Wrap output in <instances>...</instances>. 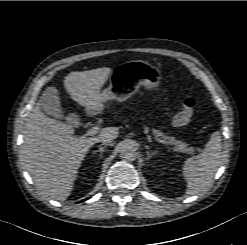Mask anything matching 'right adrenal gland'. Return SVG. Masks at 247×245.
Listing matches in <instances>:
<instances>
[{
	"mask_svg": "<svg viewBox=\"0 0 247 245\" xmlns=\"http://www.w3.org/2000/svg\"><path fill=\"white\" fill-rule=\"evenodd\" d=\"M107 146H100L98 150L95 151L96 152H99L100 153V158H102V153L104 151V149L106 148Z\"/></svg>",
	"mask_w": 247,
	"mask_h": 245,
	"instance_id": "1",
	"label": "right adrenal gland"
}]
</instances>
